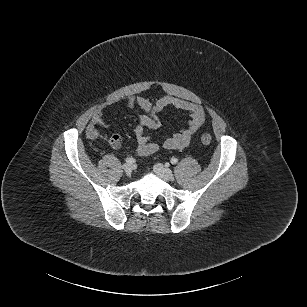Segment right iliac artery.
<instances>
[{"label": "right iliac artery", "instance_id": "obj_1", "mask_svg": "<svg viewBox=\"0 0 307 307\" xmlns=\"http://www.w3.org/2000/svg\"><path fill=\"white\" fill-rule=\"evenodd\" d=\"M126 162H127L128 164H133V163H135V159L129 157V158L126 159Z\"/></svg>", "mask_w": 307, "mask_h": 307}]
</instances>
